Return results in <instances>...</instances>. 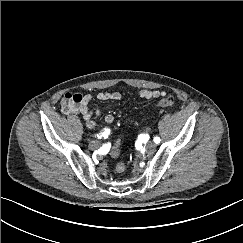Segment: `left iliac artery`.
Returning <instances> with one entry per match:
<instances>
[{
	"mask_svg": "<svg viewBox=\"0 0 243 243\" xmlns=\"http://www.w3.org/2000/svg\"><path fill=\"white\" fill-rule=\"evenodd\" d=\"M154 142H155L156 144L160 143V137H155V138H154Z\"/></svg>",
	"mask_w": 243,
	"mask_h": 243,
	"instance_id": "obj_1",
	"label": "left iliac artery"
}]
</instances>
